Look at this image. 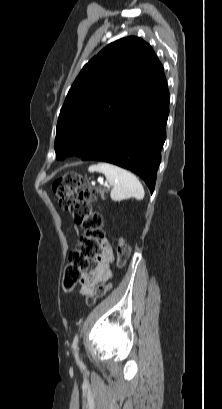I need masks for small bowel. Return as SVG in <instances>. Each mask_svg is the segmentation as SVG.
I'll return each mask as SVG.
<instances>
[{
	"label": "small bowel",
	"mask_w": 222,
	"mask_h": 409,
	"mask_svg": "<svg viewBox=\"0 0 222 409\" xmlns=\"http://www.w3.org/2000/svg\"><path fill=\"white\" fill-rule=\"evenodd\" d=\"M114 260L113 247L107 239L101 241V254L100 260L96 259L97 264L88 272L82 274L80 281L79 293L81 296L87 297L92 294L96 287L102 286L108 283L113 273L110 269V265Z\"/></svg>",
	"instance_id": "c3829d8e"
}]
</instances>
